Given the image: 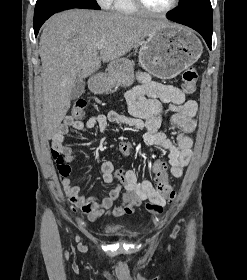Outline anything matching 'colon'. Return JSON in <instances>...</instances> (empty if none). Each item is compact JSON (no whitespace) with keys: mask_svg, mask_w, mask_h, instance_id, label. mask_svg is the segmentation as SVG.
<instances>
[{"mask_svg":"<svg viewBox=\"0 0 247 280\" xmlns=\"http://www.w3.org/2000/svg\"><path fill=\"white\" fill-rule=\"evenodd\" d=\"M198 80V73L195 68H187L182 73V90L186 94H191L195 91ZM86 109V101L79 99L72 106V115L76 119L84 117ZM120 151L130 156L134 153V147L130 142H123L120 144ZM59 173H68L70 167L66 165L63 158L59 155L53 156ZM153 173L156 178V190L166 199L172 200L175 197V191L168 182L167 164L163 161L157 160L153 164ZM126 173L118 171L115 176L116 181L112 183L111 188L113 191L126 190L130 186V181L125 177Z\"/></svg>","mask_w":247,"mask_h":280,"instance_id":"5ec220e1","label":"colon"}]
</instances>
